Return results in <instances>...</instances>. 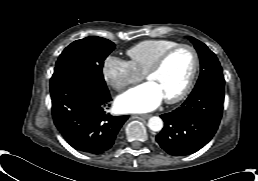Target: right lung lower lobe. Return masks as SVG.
<instances>
[{"instance_id": "1", "label": "right lung lower lobe", "mask_w": 258, "mask_h": 181, "mask_svg": "<svg viewBox=\"0 0 258 181\" xmlns=\"http://www.w3.org/2000/svg\"><path fill=\"white\" fill-rule=\"evenodd\" d=\"M53 120L74 149L102 154L109 150L128 116L105 112L109 92H98L73 77L53 74L50 80Z\"/></svg>"}]
</instances>
